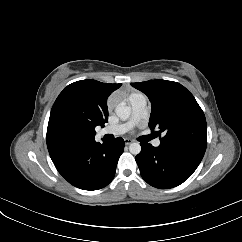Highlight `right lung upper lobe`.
I'll list each match as a JSON object with an SVG mask.
<instances>
[{"instance_id": "1", "label": "right lung upper lobe", "mask_w": 242, "mask_h": 242, "mask_svg": "<svg viewBox=\"0 0 242 242\" xmlns=\"http://www.w3.org/2000/svg\"><path fill=\"white\" fill-rule=\"evenodd\" d=\"M121 84L81 80L57 97L48 122L47 147L52 161L95 141V127L108 121L107 97Z\"/></svg>"}]
</instances>
